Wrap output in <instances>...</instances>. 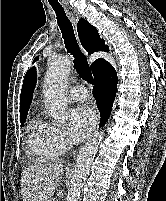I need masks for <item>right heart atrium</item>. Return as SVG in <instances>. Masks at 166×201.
I'll list each match as a JSON object with an SVG mask.
<instances>
[{
	"instance_id": "1",
	"label": "right heart atrium",
	"mask_w": 166,
	"mask_h": 201,
	"mask_svg": "<svg viewBox=\"0 0 166 201\" xmlns=\"http://www.w3.org/2000/svg\"><path fill=\"white\" fill-rule=\"evenodd\" d=\"M54 138L55 143L61 152L68 150L72 145L68 133L64 128L56 126L54 130Z\"/></svg>"
}]
</instances>
